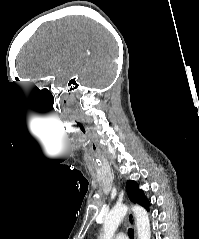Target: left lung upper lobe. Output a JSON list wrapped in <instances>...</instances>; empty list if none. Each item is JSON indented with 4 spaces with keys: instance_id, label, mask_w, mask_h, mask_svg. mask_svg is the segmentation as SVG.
Instances as JSON below:
<instances>
[{
    "instance_id": "left-lung-upper-lobe-1",
    "label": "left lung upper lobe",
    "mask_w": 199,
    "mask_h": 239,
    "mask_svg": "<svg viewBox=\"0 0 199 239\" xmlns=\"http://www.w3.org/2000/svg\"><path fill=\"white\" fill-rule=\"evenodd\" d=\"M126 188L128 197L132 202L138 203L149 210L150 202L147 200L144 192L139 189L138 184L135 181H127Z\"/></svg>"
}]
</instances>
